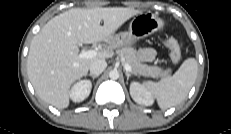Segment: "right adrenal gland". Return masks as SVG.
Returning <instances> with one entry per match:
<instances>
[{
  "instance_id": "obj_1",
  "label": "right adrenal gland",
  "mask_w": 231,
  "mask_h": 134,
  "mask_svg": "<svg viewBox=\"0 0 231 134\" xmlns=\"http://www.w3.org/2000/svg\"><path fill=\"white\" fill-rule=\"evenodd\" d=\"M89 76H91L93 80L98 77V75H92V74H89Z\"/></svg>"
}]
</instances>
